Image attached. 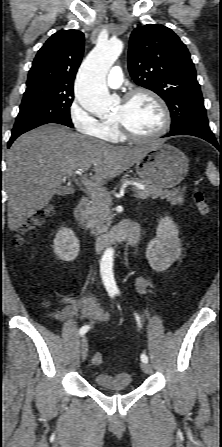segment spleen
<instances>
[{"label": "spleen", "instance_id": "spleen-1", "mask_svg": "<svg viewBox=\"0 0 222 447\" xmlns=\"http://www.w3.org/2000/svg\"><path fill=\"white\" fill-rule=\"evenodd\" d=\"M206 174L210 180V182L214 185L217 186L219 185V174L215 168V166L209 162L207 169H206Z\"/></svg>", "mask_w": 222, "mask_h": 447}]
</instances>
